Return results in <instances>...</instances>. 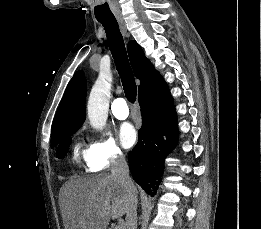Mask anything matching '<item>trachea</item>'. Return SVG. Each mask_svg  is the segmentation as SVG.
Instances as JSON below:
<instances>
[{"instance_id":"3493384b","label":"trachea","mask_w":261,"mask_h":229,"mask_svg":"<svg viewBox=\"0 0 261 229\" xmlns=\"http://www.w3.org/2000/svg\"><path fill=\"white\" fill-rule=\"evenodd\" d=\"M96 18L105 29L109 50L114 58L125 95L130 102H135L137 86L126 53L123 36L120 33L116 18L114 16Z\"/></svg>"}]
</instances>
